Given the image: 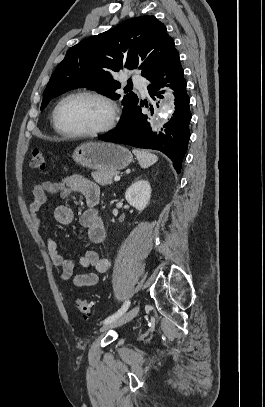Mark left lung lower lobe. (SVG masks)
Listing matches in <instances>:
<instances>
[{
  "label": "left lung lower lobe",
  "mask_w": 265,
  "mask_h": 407,
  "mask_svg": "<svg viewBox=\"0 0 265 407\" xmlns=\"http://www.w3.org/2000/svg\"><path fill=\"white\" fill-rule=\"evenodd\" d=\"M183 75L184 70L179 61L168 72L165 79H162V77H151L149 79V95L155 102L163 98L164 91H161V88L167 82L170 83L167 86H170L175 91V112L158 135L152 132L148 123V116L142 113L141 107L143 105L140 104L114 131L99 136V139L139 148L160 150L173 161L176 171L180 173L182 160L188 149L189 123L191 120L190 97L186 92L187 83Z\"/></svg>",
  "instance_id": "1"
}]
</instances>
